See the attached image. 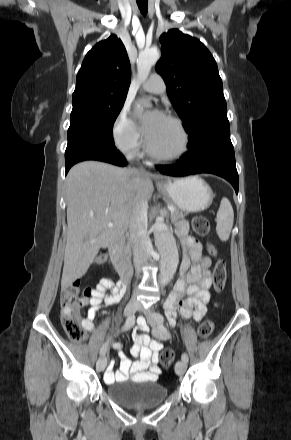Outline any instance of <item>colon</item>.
I'll list each match as a JSON object with an SVG mask.
<instances>
[{"instance_id":"obj_1","label":"colon","mask_w":291,"mask_h":440,"mask_svg":"<svg viewBox=\"0 0 291 440\" xmlns=\"http://www.w3.org/2000/svg\"><path fill=\"white\" fill-rule=\"evenodd\" d=\"M192 227L195 233L203 235L210 229V224L205 216L198 215L193 218ZM209 253L215 255V249L212 245L208 246ZM226 281V265L221 259L217 260L214 269V285L216 290L223 289ZM94 289L82 286L79 282L71 284L61 289V323L62 327L74 342H80L85 337L84 328L80 323L81 311L88 305ZM214 328L210 320L201 323L198 335L200 338L208 337ZM174 359V351L170 348L165 349L161 354V363L164 367H169Z\"/></svg>"}]
</instances>
